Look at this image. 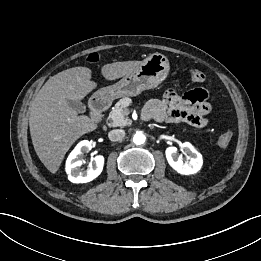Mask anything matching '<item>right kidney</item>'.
<instances>
[{"label": "right kidney", "mask_w": 261, "mask_h": 261, "mask_svg": "<svg viewBox=\"0 0 261 261\" xmlns=\"http://www.w3.org/2000/svg\"><path fill=\"white\" fill-rule=\"evenodd\" d=\"M91 150V142L83 140L79 142L66 160V173L69 181L73 183H87L98 177L104 166V157L98 155L94 158V165L87 170L80 169L82 165V154Z\"/></svg>", "instance_id": "ca27d5eb"}]
</instances>
